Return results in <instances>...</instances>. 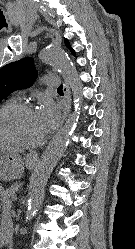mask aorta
Segmentation results:
<instances>
[{
    "label": "aorta",
    "instance_id": "obj_1",
    "mask_svg": "<svg viewBox=\"0 0 135 249\" xmlns=\"http://www.w3.org/2000/svg\"><path fill=\"white\" fill-rule=\"evenodd\" d=\"M40 57L45 63L59 69L68 81L75 102V111L69 116L61 131L56 134L43 152L36 172L31 178L26 221H30L40 208L48 178L53 168L64 154L71 135L76 128L79 114L78 110L80 109L79 106L83 97V85L78 72L61 48L49 46L41 51Z\"/></svg>",
    "mask_w": 135,
    "mask_h": 249
}]
</instances>
